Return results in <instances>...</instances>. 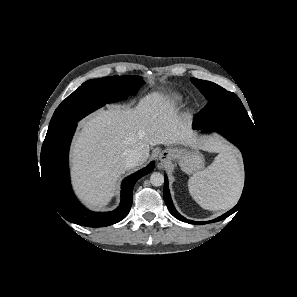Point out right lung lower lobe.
Segmentation results:
<instances>
[{
	"mask_svg": "<svg viewBox=\"0 0 297 297\" xmlns=\"http://www.w3.org/2000/svg\"><path fill=\"white\" fill-rule=\"evenodd\" d=\"M77 122L59 133L45 138L40 162L42 183L48 199L57 212L66 220L87 227H104L121 221L132 205L133 187L138 179L150 173L154 163L128 176L122 182L121 204L107 213H94L84 208L75 198L69 179L68 152Z\"/></svg>",
	"mask_w": 297,
	"mask_h": 297,
	"instance_id": "right-lung-lower-lobe-1",
	"label": "right lung lower lobe"
}]
</instances>
